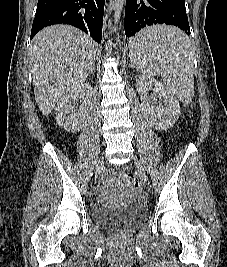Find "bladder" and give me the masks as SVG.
<instances>
[{
  "label": "bladder",
  "instance_id": "obj_1",
  "mask_svg": "<svg viewBox=\"0 0 227 267\" xmlns=\"http://www.w3.org/2000/svg\"><path fill=\"white\" fill-rule=\"evenodd\" d=\"M145 209L135 205L131 207H112L95 205L93 219L103 226H129L140 221L145 216Z\"/></svg>",
  "mask_w": 227,
  "mask_h": 267
}]
</instances>
